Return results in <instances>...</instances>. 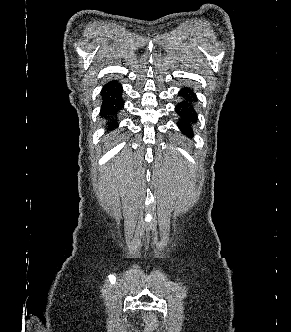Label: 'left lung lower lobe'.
Instances as JSON below:
<instances>
[{"instance_id": "obj_1", "label": "left lung lower lobe", "mask_w": 291, "mask_h": 332, "mask_svg": "<svg viewBox=\"0 0 291 332\" xmlns=\"http://www.w3.org/2000/svg\"><path fill=\"white\" fill-rule=\"evenodd\" d=\"M179 96L182 98V101L175 107V111L179 116L177 125L184 135L192 137V124L197 122V115L193 107L197 97L190 87H182Z\"/></svg>"}]
</instances>
